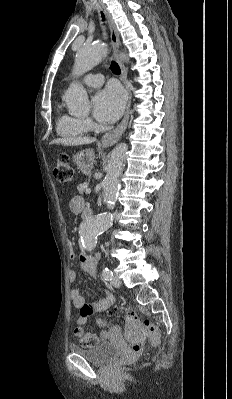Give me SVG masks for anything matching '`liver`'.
Returning a JSON list of instances; mask_svg holds the SVG:
<instances>
[{
  "mask_svg": "<svg viewBox=\"0 0 232 399\" xmlns=\"http://www.w3.org/2000/svg\"><path fill=\"white\" fill-rule=\"evenodd\" d=\"M95 142V138H57L53 140L50 144H64V146H81V144H91Z\"/></svg>",
  "mask_w": 232,
  "mask_h": 399,
  "instance_id": "liver-1",
  "label": "liver"
}]
</instances>
